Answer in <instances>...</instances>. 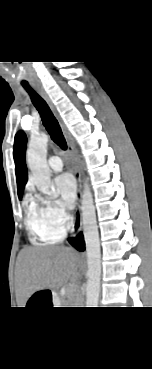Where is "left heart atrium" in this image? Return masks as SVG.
<instances>
[{
  "instance_id": "left-heart-atrium-1",
  "label": "left heart atrium",
  "mask_w": 152,
  "mask_h": 369,
  "mask_svg": "<svg viewBox=\"0 0 152 369\" xmlns=\"http://www.w3.org/2000/svg\"><path fill=\"white\" fill-rule=\"evenodd\" d=\"M54 186L60 196L61 205L67 209L74 206L76 198V182L70 173H63L54 180Z\"/></svg>"
}]
</instances>
